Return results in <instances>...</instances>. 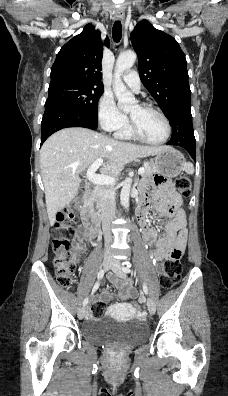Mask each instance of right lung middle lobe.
<instances>
[{
  "label": "right lung middle lobe",
  "mask_w": 228,
  "mask_h": 396,
  "mask_svg": "<svg viewBox=\"0 0 228 396\" xmlns=\"http://www.w3.org/2000/svg\"><path fill=\"white\" fill-rule=\"evenodd\" d=\"M103 92V86L60 83L49 86L46 103L61 102L97 119L98 101Z\"/></svg>",
  "instance_id": "right-lung-middle-lobe-1"
}]
</instances>
